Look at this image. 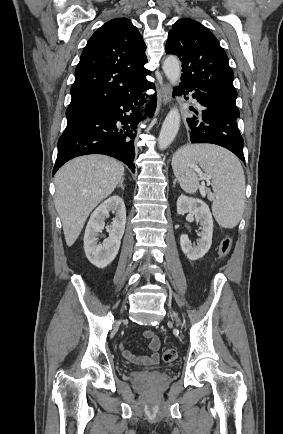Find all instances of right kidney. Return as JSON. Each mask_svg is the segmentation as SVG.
Listing matches in <instances>:
<instances>
[{"label":"right kidney","mask_w":283,"mask_h":434,"mask_svg":"<svg viewBox=\"0 0 283 434\" xmlns=\"http://www.w3.org/2000/svg\"><path fill=\"white\" fill-rule=\"evenodd\" d=\"M115 214L109 238L102 244H97L98 233L104 229L105 219L109 212ZM126 224V208L122 198L112 196L98 206L86 226L84 235V250L88 260L96 267H107L116 257L124 234Z\"/></svg>","instance_id":"1"}]
</instances>
